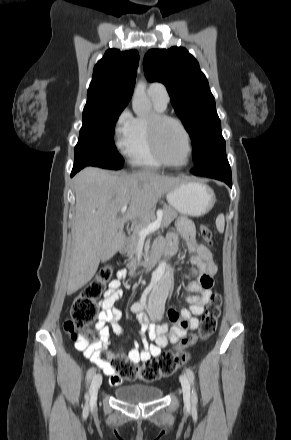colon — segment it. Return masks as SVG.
Instances as JSON below:
<instances>
[{"mask_svg":"<svg viewBox=\"0 0 291 440\" xmlns=\"http://www.w3.org/2000/svg\"><path fill=\"white\" fill-rule=\"evenodd\" d=\"M201 235L207 244L212 245V233L207 226L201 227ZM113 276V268L105 264L101 266L96 277L84 287L82 292L75 298L70 309V315L64 322V329L71 336L85 343L87 346L96 345L98 342L91 331V324L97 315L96 300L103 294L106 284ZM211 283L208 280L207 287ZM222 297L215 293L209 299L205 313L201 319L200 339L210 337L217 328L220 316ZM172 323H177L175 317H170ZM188 321H183L187 324ZM194 341L193 336L185 338L176 349L163 352L156 360H149L140 366L129 363L124 358L113 356V353L104 347L99 349V358L103 361H110L115 372L121 377L134 380L140 379L144 382H156L164 377L171 376L178 368L185 365L189 355L183 348Z\"/></svg>","mask_w":291,"mask_h":440,"instance_id":"colon-1","label":"colon"}]
</instances>
